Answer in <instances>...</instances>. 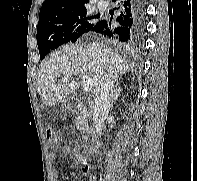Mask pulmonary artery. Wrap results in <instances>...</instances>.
I'll return each instance as SVG.
<instances>
[{
    "mask_svg": "<svg viewBox=\"0 0 197 181\" xmlns=\"http://www.w3.org/2000/svg\"><path fill=\"white\" fill-rule=\"evenodd\" d=\"M98 8L101 9V10H104L106 8V5L104 4H99L98 5Z\"/></svg>",
    "mask_w": 197,
    "mask_h": 181,
    "instance_id": "pulmonary-artery-1",
    "label": "pulmonary artery"
}]
</instances>
